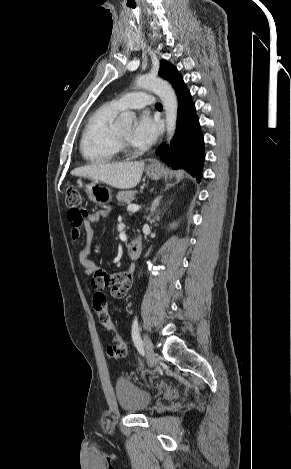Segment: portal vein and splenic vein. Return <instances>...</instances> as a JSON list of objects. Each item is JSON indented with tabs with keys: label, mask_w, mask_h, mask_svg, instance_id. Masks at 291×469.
Segmentation results:
<instances>
[{
	"label": "portal vein and splenic vein",
	"mask_w": 291,
	"mask_h": 469,
	"mask_svg": "<svg viewBox=\"0 0 291 469\" xmlns=\"http://www.w3.org/2000/svg\"><path fill=\"white\" fill-rule=\"evenodd\" d=\"M139 206L138 205H135V204H129L127 206V210L131 211V212H136L139 210Z\"/></svg>",
	"instance_id": "1"
}]
</instances>
